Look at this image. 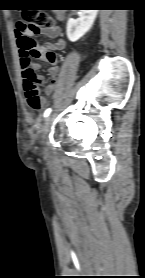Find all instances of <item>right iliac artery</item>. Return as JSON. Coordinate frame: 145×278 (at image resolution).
Wrapping results in <instances>:
<instances>
[{
  "mask_svg": "<svg viewBox=\"0 0 145 278\" xmlns=\"http://www.w3.org/2000/svg\"><path fill=\"white\" fill-rule=\"evenodd\" d=\"M50 113H51V109L48 108V109L44 112V117L49 116Z\"/></svg>",
  "mask_w": 145,
  "mask_h": 278,
  "instance_id": "82829eb1",
  "label": "right iliac artery"
}]
</instances>
